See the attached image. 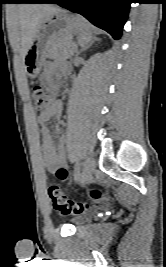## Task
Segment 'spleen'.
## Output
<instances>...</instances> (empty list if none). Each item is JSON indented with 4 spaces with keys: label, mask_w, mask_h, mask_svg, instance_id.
<instances>
[{
    "label": "spleen",
    "mask_w": 166,
    "mask_h": 267,
    "mask_svg": "<svg viewBox=\"0 0 166 267\" xmlns=\"http://www.w3.org/2000/svg\"><path fill=\"white\" fill-rule=\"evenodd\" d=\"M91 40V26L85 20L80 25L78 31V43L81 46H85Z\"/></svg>",
    "instance_id": "1"
}]
</instances>
